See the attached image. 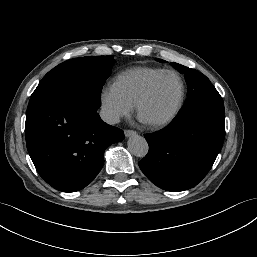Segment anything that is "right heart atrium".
Listing matches in <instances>:
<instances>
[{
	"mask_svg": "<svg viewBox=\"0 0 257 257\" xmlns=\"http://www.w3.org/2000/svg\"><path fill=\"white\" fill-rule=\"evenodd\" d=\"M100 104L102 116L109 123H116L133 111V105L114 86H107L101 90Z\"/></svg>",
	"mask_w": 257,
	"mask_h": 257,
	"instance_id": "1",
	"label": "right heart atrium"
}]
</instances>
